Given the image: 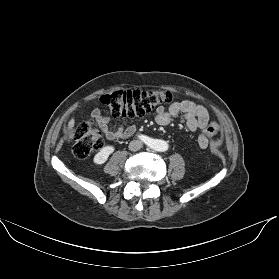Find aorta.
Returning a JSON list of instances; mask_svg holds the SVG:
<instances>
[{"label":"aorta","mask_w":279,"mask_h":279,"mask_svg":"<svg viewBox=\"0 0 279 279\" xmlns=\"http://www.w3.org/2000/svg\"><path fill=\"white\" fill-rule=\"evenodd\" d=\"M152 148L156 151L164 152L168 150L169 145L164 140L156 139L152 141Z\"/></svg>","instance_id":"aorta-1"}]
</instances>
